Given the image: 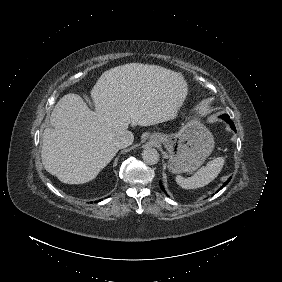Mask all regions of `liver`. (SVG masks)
Masks as SVG:
<instances>
[{"label":"liver","instance_id":"6515ba94","mask_svg":"<svg viewBox=\"0 0 282 282\" xmlns=\"http://www.w3.org/2000/svg\"><path fill=\"white\" fill-rule=\"evenodd\" d=\"M187 89L178 71L132 62L104 71L89 91L94 109L75 94L53 108L44 130L41 161L61 182L94 179L117 153L113 138L130 123L153 125L173 119Z\"/></svg>","mask_w":282,"mask_h":282}]
</instances>
